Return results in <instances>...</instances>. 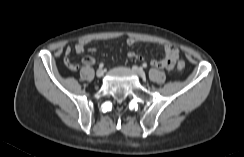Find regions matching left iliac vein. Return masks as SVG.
I'll list each match as a JSON object with an SVG mask.
<instances>
[{
    "instance_id": "4c4485c4",
    "label": "left iliac vein",
    "mask_w": 244,
    "mask_h": 157,
    "mask_svg": "<svg viewBox=\"0 0 244 157\" xmlns=\"http://www.w3.org/2000/svg\"><path fill=\"white\" fill-rule=\"evenodd\" d=\"M132 70H133L137 75H139L140 77H145V72L143 71L142 68H140V67L134 65V66L132 67Z\"/></svg>"
}]
</instances>
